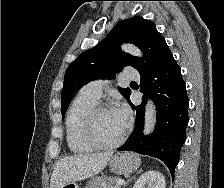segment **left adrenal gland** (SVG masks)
Returning <instances> with one entry per match:
<instances>
[{
	"instance_id": "1",
	"label": "left adrenal gland",
	"mask_w": 224,
	"mask_h": 188,
	"mask_svg": "<svg viewBox=\"0 0 224 188\" xmlns=\"http://www.w3.org/2000/svg\"><path fill=\"white\" fill-rule=\"evenodd\" d=\"M140 171H141V170H139V171L137 172V174L140 173ZM132 178H133V177H132ZM132 178H130V179L127 181V183H128L129 181H131ZM127 183L124 185V187L127 185Z\"/></svg>"
}]
</instances>
